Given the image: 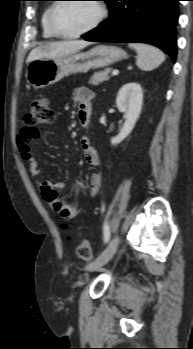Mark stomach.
I'll use <instances>...</instances> for the list:
<instances>
[{"label":"stomach","mask_w":193,"mask_h":349,"mask_svg":"<svg viewBox=\"0 0 193 349\" xmlns=\"http://www.w3.org/2000/svg\"><path fill=\"white\" fill-rule=\"evenodd\" d=\"M126 56V52L119 47L98 45L87 52L62 58L33 60L28 64L26 78L33 87L44 88L57 83L67 75L104 68Z\"/></svg>","instance_id":"obj_1"}]
</instances>
